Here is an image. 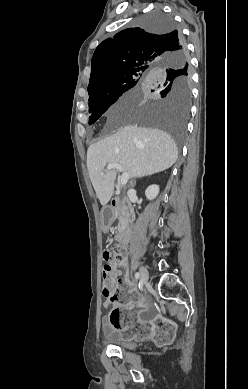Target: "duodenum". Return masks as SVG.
Segmentation results:
<instances>
[{"mask_svg": "<svg viewBox=\"0 0 248 389\" xmlns=\"http://www.w3.org/2000/svg\"><path fill=\"white\" fill-rule=\"evenodd\" d=\"M119 206V201L117 198H112L109 207L117 208ZM123 225L122 230L119 235V244L123 249H126L128 242L131 236V226L130 223L133 221V211L129 204L124 205L122 209ZM109 226H104V230H108Z\"/></svg>", "mask_w": 248, "mask_h": 389, "instance_id": "410a0bca", "label": "duodenum"}]
</instances>
